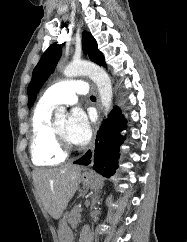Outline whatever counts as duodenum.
I'll return each mask as SVG.
<instances>
[{"label":"duodenum","instance_id":"duodenum-1","mask_svg":"<svg viewBox=\"0 0 187 242\" xmlns=\"http://www.w3.org/2000/svg\"><path fill=\"white\" fill-rule=\"evenodd\" d=\"M80 242H91V236L90 235H87V234H83L81 236Z\"/></svg>","mask_w":187,"mask_h":242}]
</instances>
